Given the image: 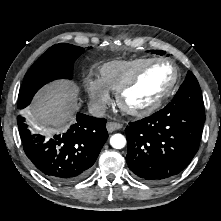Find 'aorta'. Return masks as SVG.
I'll use <instances>...</instances> for the list:
<instances>
[{
  "label": "aorta",
  "instance_id": "762f6f07",
  "mask_svg": "<svg viewBox=\"0 0 221 221\" xmlns=\"http://www.w3.org/2000/svg\"><path fill=\"white\" fill-rule=\"evenodd\" d=\"M110 145L115 149H122L126 145V138L122 134H114L110 138Z\"/></svg>",
  "mask_w": 221,
  "mask_h": 221
}]
</instances>
